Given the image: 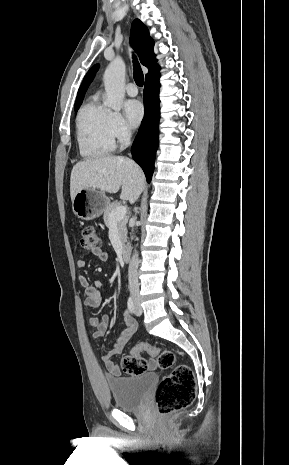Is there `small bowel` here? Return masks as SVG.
<instances>
[{
  "instance_id": "1",
  "label": "small bowel",
  "mask_w": 289,
  "mask_h": 465,
  "mask_svg": "<svg viewBox=\"0 0 289 465\" xmlns=\"http://www.w3.org/2000/svg\"><path fill=\"white\" fill-rule=\"evenodd\" d=\"M91 255L96 257L101 262H106L109 260V254L101 248L92 249ZM86 263V258H81L78 260L77 265L79 268L83 269L86 267ZM78 280L85 291V304L91 308H98L102 301V291L104 288L103 283L99 280H95L93 284H90L88 278L85 275H80ZM124 320L126 323V328L113 343L111 349L102 354V361L104 362L108 372L114 376L121 375V369L119 365L114 362L113 357L123 351L125 345L137 330L136 321L127 313L124 314ZM89 322L93 327H95L93 336L96 339H102L107 332L110 323V317L108 315H104L100 319L91 318ZM147 366L149 369H154L156 367V362L154 360H150Z\"/></svg>"
}]
</instances>
